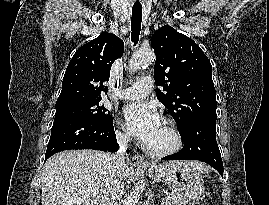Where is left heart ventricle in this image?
Masks as SVG:
<instances>
[{"mask_svg":"<svg viewBox=\"0 0 269 205\" xmlns=\"http://www.w3.org/2000/svg\"><path fill=\"white\" fill-rule=\"evenodd\" d=\"M172 144V137L169 133V130L165 123H161V126L156 133L155 137L152 139L147 146L154 148V149H163Z\"/></svg>","mask_w":269,"mask_h":205,"instance_id":"1","label":"left heart ventricle"}]
</instances>
